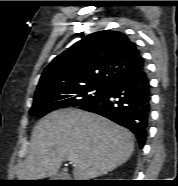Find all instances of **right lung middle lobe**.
I'll list each match as a JSON object with an SVG mask.
<instances>
[{
    "mask_svg": "<svg viewBox=\"0 0 178 186\" xmlns=\"http://www.w3.org/2000/svg\"><path fill=\"white\" fill-rule=\"evenodd\" d=\"M108 87L109 84L92 83L37 92L34 96L30 114L42 117L60 108L80 107L101 96Z\"/></svg>",
    "mask_w": 178,
    "mask_h": 186,
    "instance_id": "right-lung-middle-lobe-1",
    "label": "right lung middle lobe"
}]
</instances>
